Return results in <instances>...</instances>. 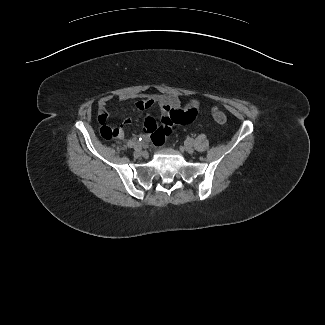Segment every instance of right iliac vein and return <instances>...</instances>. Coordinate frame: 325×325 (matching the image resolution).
<instances>
[{"instance_id":"obj_1","label":"right iliac vein","mask_w":325,"mask_h":325,"mask_svg":"<svg viewBox=\"0 0 325 325\" xmlns=\"http://www.w3.org/2000/svg\"><path fill=\"white\" fill-rule=\"evenodd\" d=\"M134 156H136V157H139V156H141V154H142V152H141V146H139V145H137L136 147H135V149H134Z\"/></svg>"}]
</instances>
